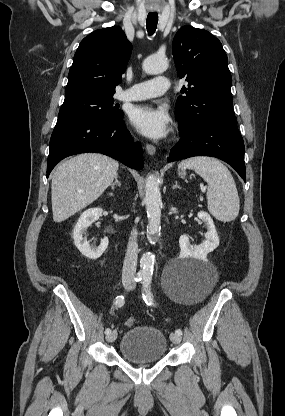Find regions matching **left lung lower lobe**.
I'll return each instance as SVG.
<instances>
[{"label": "left lung lower lobe", "mask_w": 285, "mask_h": 416, "mask_svg": "<svg viewBox=\"0 0 285 416\" xmlns=\"http://www.w3.org/2000/svg\"><path fill=\"white\" fill-rule=\"evenodd\" d=\"M180 141L170 150L167 162L193 156H211L230 164L246 181L244 142L235 118H216L180 131Z\"/></svg>", "instance_id": "left-lung-lower-lobe-1"}]
</instances>
